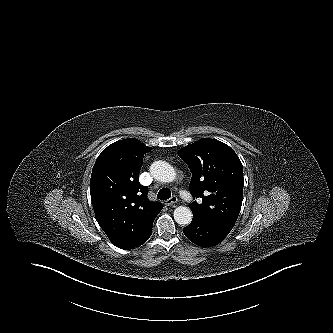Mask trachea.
Returning a JSON list of instances; mask_svg holds the SVG:
<instances>
[{
	"label": "trachea",
	"mask_w": 333,
	"mask_h": 333,
	"mask_svg": "<svg viewBox=\"0 0 333 333\" xmlns=\"http://www.w3.org/2000/svg\"><path fill=\"white\" fill-rule=\"evenodd\" d=\"M158 199L160 200H166L171 197V191L167 188H162L157 195Z\"/></svg>",
	"instance_id": "1"
}]
</instances>
